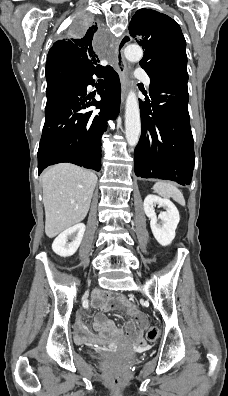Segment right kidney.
Instances as JSON below:
<instances>
[{"mask_svg": "<svg viewBox=\"0 0 228 396\" xmlns=\"http://www.w3.org/2000/svg\"><path fill=\"white\" fill-rule=\"evenodd\" d=\"M85 228L83 223H79L63 231L54 240L53 251L61 257H69L75 254L83 239ZM69 239L71 242H68Z\"/></svg>", "mask_w": 228, "mask_h": 396, "instance_id": "1", "label": "right kidney"}]
</instances>
